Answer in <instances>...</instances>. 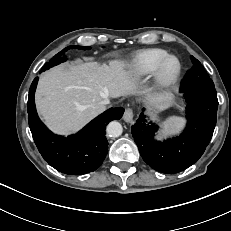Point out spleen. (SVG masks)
Listing matches in <instances>:
<instances>
[{
  "instance_id": "1",
  "label": "spleen",
  "mask_w": 231,
  "mask_h": 231,
  "mask_svg": "<svg viewBox=\"0 0 231 231\" xmlns=\"http://www.w3.org/2000/svg\"><path fill=\"white\" fill-rule=\"evenodd\" d=\"M182 126V120L179 118H174L171 121V127L173 130H178Z\"/></svg>"
}]
</instances>
